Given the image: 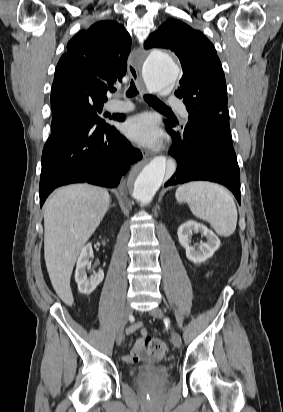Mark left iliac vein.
<instances>
[{
  "mask_svg": "<svg viewBox=\"0 0 283 412\" xmlns=\"http://www.w3.org/2000/svg\"><path fill=\"white\" fill-rule=\"evenodd\" d=\"M150 315H152L153 317L158 318V319H161V318L164 317V313L159 307H156V308L152 309L150 311ZM172 341H173V344L176 348L181 347L182 340H181L180 335L176 331H172Z\"/></svg>",
  "mask_w": 283,
  "mask_h": 412,
  "instance_id": "4c4485c4",
  "label": "left iliac vein"
}]
</instances>
